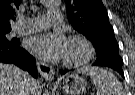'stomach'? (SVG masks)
<instances>
[{"label": "stomach", "mask_w": 135, "mask_h": 95, "mask_svg": "<svg viewBox=\"0 0 135 95\" xmlns=\"http://www.w3.org/2000/svg\"><path fill=\"white\" fill-rule=\"evenodd\" d=\"M86 87L87 82L78 74H71L63 81V90L67 95H82Z\"/></svg>", "instance_id": "0dacf381"}]
</instances>
